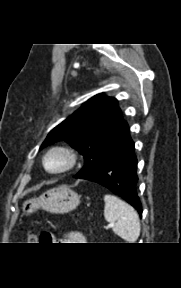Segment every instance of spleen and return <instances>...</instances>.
<instances>
[{
  "label": "spleen",
  "mask_w": 181,
  "mask_h": 288,
  "mask_svg": "<svg viewBox=\"0 0 181 288\" xmlns=\"http://www.w3.org/2000/svg\"><path fill=\"white\" fill-rule=\"evenodd\" d=\"M104 217L113 224V231L129 243L140 235V221L137 212L126 202L114 195L104 196Z\"/></svg>",
  "instance_id": "obj_1"
}]
</instances>
